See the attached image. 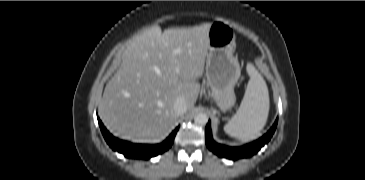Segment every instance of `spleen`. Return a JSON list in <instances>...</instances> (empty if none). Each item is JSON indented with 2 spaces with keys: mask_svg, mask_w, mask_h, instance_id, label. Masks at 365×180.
Masks as SVG:
<instances>
[{
  "mask_svg": "<svg viewBox=\"0 0 365 180\" xmlns=\"http://www.w3.org/2000/svg\"><path fill=\"white\" fill-rule=\"evenodd\" d=\"M250 79L236 114L224 126L231 137L241 140L253 138L260 133L269 114V92L265 80L251 63L247 64Z\"/></svg>",
  "mask_w": 365,
  "mask_h": 180,
  "instance_id": "1",
  "label": "spleen"
}]
</instances>
